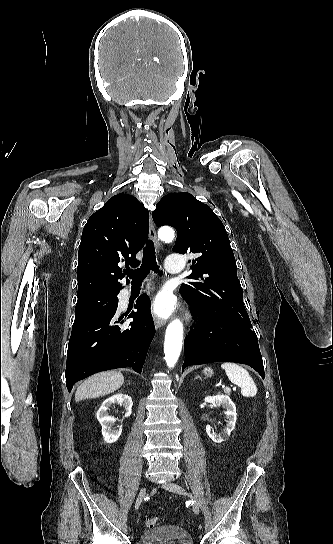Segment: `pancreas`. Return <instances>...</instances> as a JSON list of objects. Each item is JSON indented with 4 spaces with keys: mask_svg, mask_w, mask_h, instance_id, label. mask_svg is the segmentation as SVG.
Segmentation results:
<instances>
[{
    "mask_svg": "<svg viewBox=\"0 0 333 544\" xmlns=\"http://www.w3.org/2000/svg\"><path fill=\"white\" fill-rule=\"evenodd\" d=\"M225 393H226L227 395H230V391H225Z\"/></svg>",
    "mask_w": 333,
    "mask_h": 544,
    "instance_id": "cf45deb5",
    "label": "pancreas"
}]
</instances>
